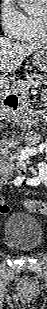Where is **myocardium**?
I'll return each mask as SVG.
<instances>
[{
    "label": "myocardium",
    "mask_w": 47,
    "mask_h": 309,
    "mask_svg": "<svg viewBox=\"0 0 47 309\" xmlns=\"http://www.w3.org/2000/svg\"><path fill=\"white\" fill-rule=\"evenodd\" d=\"M39 20H40L41 25H42L43 33L46 36V33H47V15H46V12H43L42 14L39 15Z\"/></svg>",
    "instance_id": "1"
}]
</instances>
